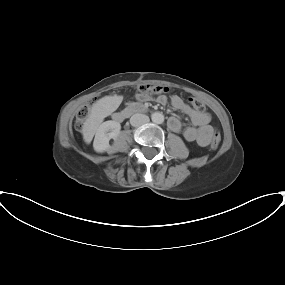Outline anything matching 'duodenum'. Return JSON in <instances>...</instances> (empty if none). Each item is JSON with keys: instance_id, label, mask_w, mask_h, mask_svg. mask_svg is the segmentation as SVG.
<instances>
[{"instance_id": "1", "label": "duodenum", "mask_w": 285, "mask_h": 285, "mask_svg": "<svg viewBox=\"0 0 285 285\" xmlns=\"http://www.w3.org/2000/svg\"><path fill=\"white\" fill-rule=\"evenodd\" d=\"M144 108L139 105H130L124 111L115 114L114 119L117 121H124L126 118L137 112L143 111Z\"/></svg>"}]
</instances>
